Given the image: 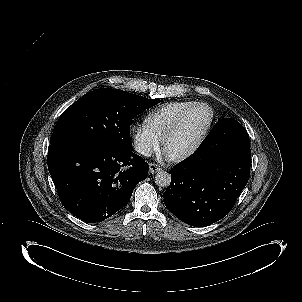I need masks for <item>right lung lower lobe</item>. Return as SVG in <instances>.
<instances>
[{"instance_id":"right-lung-lower-lobe-1","label":"right lung lower lobe","mask_w":302,"mask_h":302,"mask_svg":"<svg viewBox=\"0 0 302 302\" xmlns=\"http://www.w3.org/2000/svg\"><path fill=\"white\" fill-rule=\"evenodd\" d=\"M47 160L63 206L90 223L124 207L149 169L132 149L99 140L50 145Z\"/></svg>"}]
</instances>
